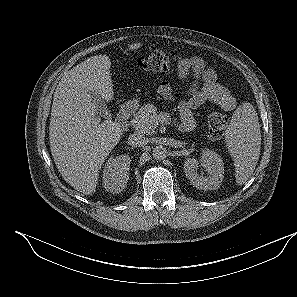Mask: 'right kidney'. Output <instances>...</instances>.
Wrapping results in <instances>:
<instances>
[{
  "mask_svg": "<svg viewBox=\"0 0 297 297\" xmlns=\"http://www.w3.org/2000/svg\"><path fill=\"white\" fill-rule=\"evenodd\" d=\"M131 159L128 155L110 157L103 171L104 188L111 193L123 191L129 179Z\"/></svg>",
  "mask_w": 297,
  "mask_h": 297,
  "instance_id": "obj_1",
  "label": "right kidney"
}]
</instances>
